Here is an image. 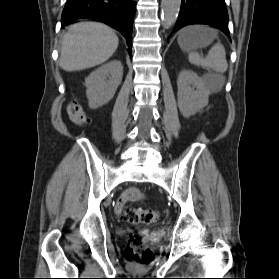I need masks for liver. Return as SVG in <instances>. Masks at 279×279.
<instances>
[{
	"mask_svg": "<svg viewBox=\"0 0 279 279\" xmlns=\"http://www.w3.org/2000/svg\"><path fill=\"white\" fill-rule=\"evenodd\" d=\"M115 32L102 23L79 22L63 35L60 67L67 71L91 68L107 61L118 47Z\"/></svg>",
	"mask_w": 279,
	"mask_h": 279,
	"instance_id": "obj_1",
	"label": "liver"
}]
</instances>
